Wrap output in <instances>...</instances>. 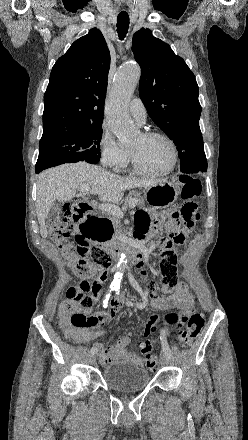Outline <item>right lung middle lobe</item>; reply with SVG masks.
Wrapping results in <instances>:
<instances>
[{
	"instance_id": "right-lung-middle-lobe-1",
	"label": "right lung middle lobe",
	"mask_w": 248,
	"mask_h": 440,
	"mask_svg": "<svg viewBox=\"0 0 248 440\" xmlns=\"http://www.w3.org/2000/svg\"><path fill=\"white\" fill-rule=\"evenodd\" d=\"M101 136L102 124L42 136L35 172L64 163H97L101 157Z\"/></svg>"
}]
</instances>
